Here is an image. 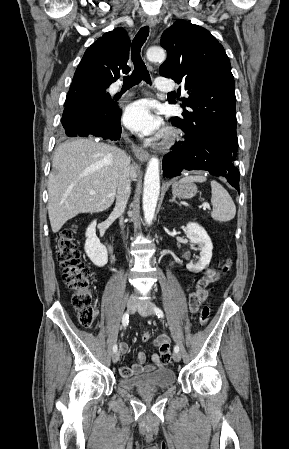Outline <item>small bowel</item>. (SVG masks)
Listing matches in <instances>:
<instances>
[{"instance_id": "obj_1", "label": "small bowel", "mask_w": 289, "mask_h": 449, "mask_svg": "<svg viewBox=\"0 0 289 449\" xmlns=\"http://www.w3.org/2000/svg\"><path fill=\"white\" fill-rule=\"evenodd\" d=\"M219 274L214 268L207 269L204 274L196 281L194 290L189 295V308L191 312L196 313L201 304L205 302L209 297V291L207 287L216 282L219 279ZM149 341V340H148ZM171 340L167 335H159L154 341L153 345L159 347L158 351L160 355L153 353L151 355V363L146 364V356L143 352L138 354L137 362L130 366H122L119 369V373L122 377H131L143 372H152L156 369L164 368L169 364L172 353L170 351ZM120 350L122 353L128 351V345L124 342L120 343Z\"/></svg>"}]
</instances>
